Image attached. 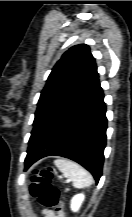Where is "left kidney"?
<instances>
[{
    "label": "left kidney",
    "mask_w": 132,
    "mask_h": 217,
    "mask_svg": "<svg viewBox=\"0 0 132 217\" xmlns=\"http://www.w3.org/2000/svg\"><path fill=\"white\" fill-rule=\"evenodd\" d=\"M83 201H84L83 194L75 195L71 200V210L74 212L78 211Z\"/></svg>",
    "instance_id": "left-kidney-1"
}]
</instances>
